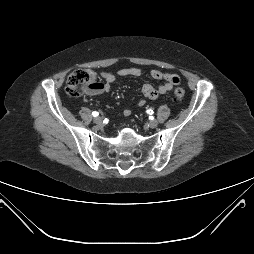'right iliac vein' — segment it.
<instances>
[{"label": "right iliac vein", "mask_w": 254, "mask_h": 254, "mask_svg": "<svg viewBox=\"0 0 254 254\" xmlns=\"http://www.w3.org/2000/svg\"><path fill=\"white\" fill-rule=\"evenodd\" d=\"M102 122H103V118L102 117L98 116V117L94 118V123L100 125V124H102Z\"/></svg>", "instance_id": "obj_1"}]
</instances>
